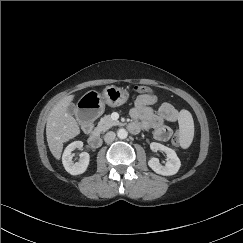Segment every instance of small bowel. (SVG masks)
Segmentation results:
<instances>
[{"instance_id":"1","label":"small bowel","mask_w":243,"mask_h":243,"mask_svg":"<svg viewBox=\"0 0 243 243\" xmlns=\"http://www.w3.org/2000/svg\"><path fill=\"white\" fill-rule=\"evenodd\" d=\"M158 104V109L154 106ZM133 122L129 125L132 133L140 129L152 130L154 137L159 141H168L172 131L164 122H176L178 120L177 109L169 102H159L156 95H139L131 110Z\"/></svg>"}]
</instances>
